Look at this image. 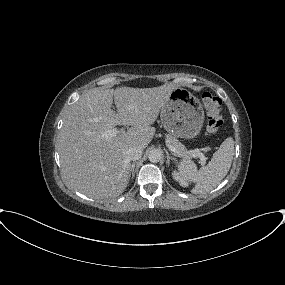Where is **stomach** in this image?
<instances>
[{
    "label": "stomach",
    "mask_w": 285,
    "mask_h": 285,
    "mask_svg": "<svg viewBox=\"0 0 285 285\" xmlns=\"http://www.w3.org/2000/svg\"><path fill=\"white\" fill-rule=\"evenodd\" d=\"M161 121L172 135L192 139L201 131L204 111L197 97L187 89L175 88L161 109Z\"/></svg>",
    "instance_id": "stomach-1"
}]
</instances>
